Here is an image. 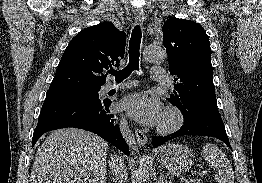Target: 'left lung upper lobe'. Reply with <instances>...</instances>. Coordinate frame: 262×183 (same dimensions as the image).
I'll return each instance as SVG.
<instances>
[{
    "label": "left lung upper lobe",
    "mask_w": 262,
    "mask_h": 183,
    "mask_svg": "<svg viewBox=\"0 0 262 183\" xmlns=\"http://www.w3.org/2000/svg\"><path fill=\"white\" fill-rule=\"evenodd\" d=\"M163 42L174 79L173 94L167 98L183 114L215 112L211 48L208 36L198 23L169 18L163 25Z\"/></svg>",
    "instance_id": "5c2ea615"
}]
</instances>
